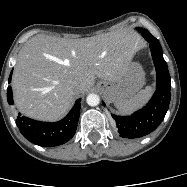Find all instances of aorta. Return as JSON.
<instances>
[{
	"label": "aorta",
	"mask_w": 187,
	"mask_h": 187,
	"mask_svg": "<svg viewBox=\"0 0 187 187\" xmlns=\"http://www.w3.org/2000/svg\"><path fill=\"white\" fill-rule=\"evenodd\" d=\"M87 104L89 106H97L100 103V97L97 94L91 93L86 98Z\"/></svg>",
	"instance_id": "aorta-1"
}]
</instances>
